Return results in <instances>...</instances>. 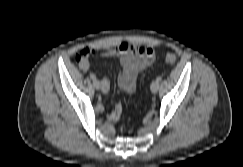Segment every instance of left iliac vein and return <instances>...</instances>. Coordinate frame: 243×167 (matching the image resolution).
Returning <instances> with one entry per match:
<instances>
[{
  "instance_id": "4c4485c4",
  "label": "left iliac vein",
  "mask_w": 243,
  "mask_h": 167,
  "mask_svg": "<svg viewBox=\"0 0 243 167\" xmlns=\"http://www.w3.org/2000/svg\"><path fill=\"white\" fill-rule=\"evenodd\" d=\"M150 89L152 93H156L159 89V82L153 81L150 85Z\"/></svg>"
}]
</instances>
